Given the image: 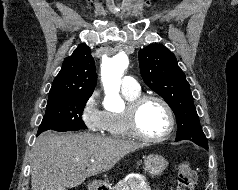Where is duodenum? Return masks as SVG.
Masks as SVG:
<instances>
[{"label":"duodenum","mask_w":238,"mask_h":190,"mask_svg":"<svg viewBox=\"0 0 238 190\" xmlns=\"http://www.w3.org/2000/svg\"><path fill=\"white\" fill-rule=\"evenodd\" d=\"M90 190H105L101 183L94 182L91 184Z\"/></svg>","instance_id":"410a0bca"}]
</instances>
